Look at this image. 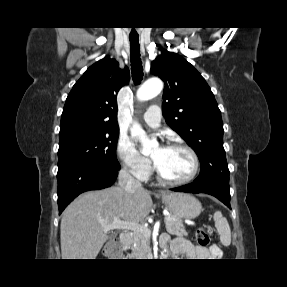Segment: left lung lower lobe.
I'll use <instances>...</instances> for the list:
<instances>
[{"label":"left lung lower lobe","instance_id":"1","mask_svg":"<svg viewBox=\"0 0 287 287\" xmlns=\"http://www.w3.org/2000/svg\"><path fill=\"white\" fill-rule=\"evenodd\" d=\"M173 191L187 193H206L218 198L230 208V191L229 185L221 182L191 183L181 187L173 188Z\"/></svg>","mask_w":287,"mask_h":287}]
</instances>
